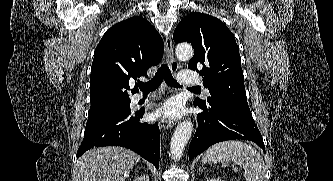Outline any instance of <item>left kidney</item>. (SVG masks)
<instances>
[{
    "mask_svg": "<svg viewBox=\"0 0 333 181\" xmlns=\"http://www.w3.org/2000/svg\"><path fill=\"white\" fill-rule=\"evenodd\" d=\"M206 181H223V180H221L220 178L212 177V178H208Z\"/></svg>",
    "mask_w": 333,
    "mask_h": 181,
    "instance_id": "obj_1",
    "label": "left kidney"
}]
</instances>
